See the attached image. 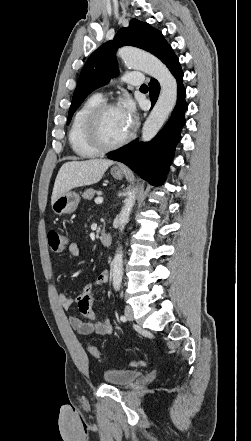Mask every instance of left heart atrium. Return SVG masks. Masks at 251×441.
Masks as SVG:
<instances>
[{"label":"left heart atrium","mask_w":251,"mask_h":441,"mask_svg":"<svg viewBox=\"0 0 251 441\" xmlns=\"http://www.w3.org/2000/svg\"><path fill=\"white\" fill-rule=\"evenodd\" d=\"M118 109L126 125L131 128L135 121V107L133 103L129 100H126L120 105Z\"/></svg>","instance_id":"39dd6f15"}]
</instances>
